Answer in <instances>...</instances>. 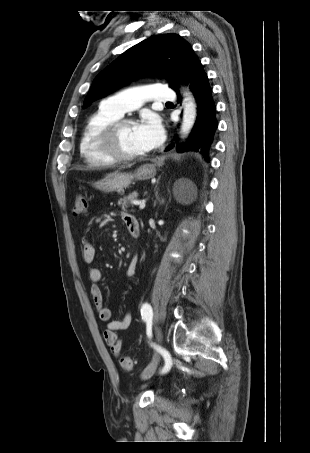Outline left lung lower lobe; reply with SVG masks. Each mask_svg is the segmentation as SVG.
<instances>
[{"label":"left lung lower lobe","mask_w":310,"mask_h":453,"mask_svg":"<svg viewBox=\"0 0 310 453\" xmlns=\"http://www.w3.org/2000/svg\"><path fill=\"white\" fill-rule=\"evenodd\" d=\"M180 80L188 84L194 93L198 106V115L189 138L186 142L177 145L176 149L178 152H200L208 161V150L218 126L215 117L216 107L212 99L208 77L194 52L191 54ZM173 89L177 92L178 99L181 101L177 86ZM170 148L171 146L167 150Z\"/></svg>","instance_id":"1"}]
</instances>
